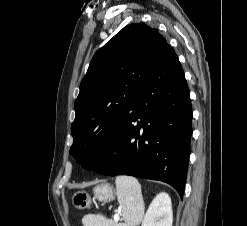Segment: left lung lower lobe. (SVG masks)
Segmentation results:
<instances>
[{
	"mask_svg": "<svg viewBox=\"0 0 247 226\" xmlns=\"http://www.w3.org/2000/svg\"><path fill=\"white\" fill-rule=\"evenodd\" d=\"M192 108L173 48L166 44L134 97L115 137L84 168L168 183L183 197L190 156Z\"/></svg>",
	"mask_w": 247,
	"mask_h": 226,
	"instance_id": "1",
	"label": "left lung lower lobe"
}]
</instances>
